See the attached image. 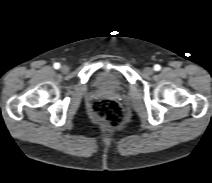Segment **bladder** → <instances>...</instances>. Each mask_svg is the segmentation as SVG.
<instances>
[{"instance_id":"1","label":"bladder","mask_w":212,"mask_h":183,"mask_svg":"<svg viewBox=\"0 0 212 183\" xmlns=\"http://www.w3.org/2000/svg\"><path fill=\"white\" fill-rule=\"evenodd\" d=\"M96 85L99 89L105 91H119L124 86L123 81L119 76L107 71L99 74L96 80Z\"/></svg>"}]
</instances>
